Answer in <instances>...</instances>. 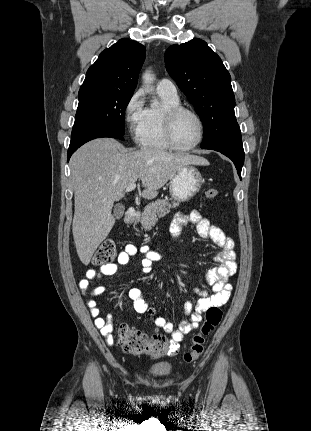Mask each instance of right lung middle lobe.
<instances>
[{"instance_id": "obj_1", "label": "right lung middle lobe", "mask_w": 311, "mask_h": 431, "mask_svg": "<svg viewBox=\"0 0 311 431\" xmlns=\"http://www.w3.org/2000/svg\"><path fill=\"white\" fill-rule=\"evenodd\" d=\"M132 95L104 90L79 91L71 136L93 128L124 135V113Z\"/></svg>"}]
</instances>
